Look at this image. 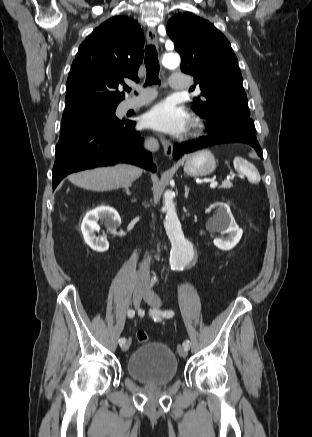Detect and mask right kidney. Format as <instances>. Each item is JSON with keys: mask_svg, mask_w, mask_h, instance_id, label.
<instances>
[{"mask_svg": "<svg viewBox=\"0 0 312 437\" xmlns=\"http://www.w3.org/2000/svg\"><path fill=\"white\" fill-rule=\"evenodd\" d=\"M98 220L104 221L106 228L115 232L121 224V218L118 212L110 206H99L85 215L81 225L85 242L93 250L104 252L108 250L109 243L104 237H96L95 232L100 229Z\"/></svg>", "mask_w": 312, "mask_h": 437, "instance_id": "obj_1", "label": "right kidney"}]
</instances>
